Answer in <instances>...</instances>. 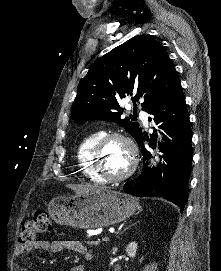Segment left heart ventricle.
<instances>
[{"label": "left heart ventricle", "instance_id": "b2bd125f", "mask_svg": "<svg viewBox=\"0 0 221 271\" xmlns=\"http://www.w3.org/2000/svg\"><path fill=\"white\" fill-rule=\"evenodd\" d=\"M175 87V86H168ZM103 152L100 153L101 160L99 161L104 169H107L108 175H121V169H127L129 161H124V156H128V152H124L122 148L125 141H128L124 137H115L104 140Z\"/></svg>", "mask_w": 221, "mask_h": 271}]
</instances>
